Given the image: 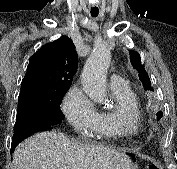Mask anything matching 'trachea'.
<instances>
[{
	"label": "trachea",
	"mask_w": 177,
	"mask_h": 169,
	"mask_svg": "<svg viewBox=\"0 0 177 169\" xmlns=\"http://www.w3.org/2000/svg\"><path fill=\"white\" fill-rule=\"evenodd\" d=\"M98 12H99L98 8L97 7H93L91 9V16L92 17H96L98 15Z\"/></svg>",
	"instance_id": "3493384b"
}]
</instances>
